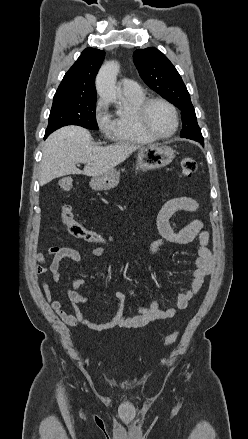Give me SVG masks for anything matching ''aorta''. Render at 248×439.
<instances>
[{
  "mask_svg": "<svg viewBox=\"0 0 248 439\" xmlns=\"http://www.w3.org/2000/svg\"><path fill=\"white\" fill-rule=\"evenodd\" d=\"M118 72V62L109 61L100 68L96 78V89L100 97L115 103L118 102V91L116 87Z\"/></svg>",
  "mask_w": 248,
  "mask_h": 439,
  "instance_id": "762f6f07",
  "label": "aorta"
}]
</instances>
